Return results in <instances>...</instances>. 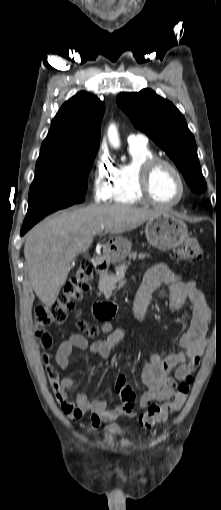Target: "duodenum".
<instances>
[{
  "label": "duodenum",
  "instance_id": "obj_1",
  "mask_svg": "<svg viewBox=\"0 0 221 510\" xmlns=\"http://www.w3.org/2000/svg\"><path fill=\"white\" fill-rule=\"evenodd\" d=\"M93 265L95 271L99 274L104 273L107 269L108 263L103 255L95 254ZM115 305L112 303L95 302L92 306V311L97 318H106L114 312Z\"/></svg>",
  "mask_w": 221,
  "mask_h": 510
}]
</instances>
